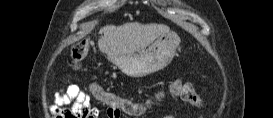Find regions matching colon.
<instances>
[{
    "mask_svg": "<svg viewBox=\"0 0 273 118\" xmlns=\"http://www.w3.org/2000/svg\"><path fill=\"white\" fill-rule=\"evenodd\" d=\"M90 47L91 42L87 39L76 43L72 47L73 66L76 70H80L82 68V62L87 56ZM92 91L99 101L108 106L114 107L119 113L123 111L129 115L135 116L139 115L144 110L143 106L134 104L127 99H121L107 91H104L99 85H93ZM169 93L173 95H179L181 97H187L195 106H199L201 103V99L199 95L195 92L193 87L189 84L183 83L179 79H173L170 82ZM163 96L164 93L161 92L156 97L159 99ZM53 118L62 117L58 113H56L53 115Z\"/></svg>",
    "mask_w": 273,
    "mask_h": 118,
    "instance_id": "obj_1",
    "label": "colon"
}]
</instances>
